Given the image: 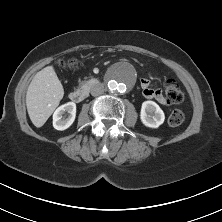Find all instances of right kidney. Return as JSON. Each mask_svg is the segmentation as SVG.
<instances>
[{
	"mask_svg": "<svg viewBox=\"0 0 222 222\" xmlns=\"http://www.w3.org/2000/svg\"><path fill=\"white\" fill-rule=\"evenodd\" d=\"M76 117V104L67 102L58 107L53 114V127L57 130H65L69 128Z\"/></svg>",
	"mask_w": 222,
	"mask_h": 222,
	"instance_id": "1",
	"label": "right kidney"
}]
</instances>
